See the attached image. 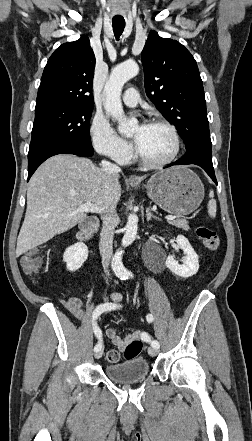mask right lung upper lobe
<instances>
[{
    "label": "right lung upper lobe",
    "mask_w": 252,
    "mask_h": 441,
    "mask_svg": "<svg viewBox=\"0 0 252 441\" xmlns=\"http://www.w3.org/2000/svg\"><path fill=\"white\" fill-rule=\"evenodd\" d=\"M95 62L87 36L58 47L44 68L36 107L48 104L93 107Z\"/></svg>",
    "instance_id": "cb5924a9"
}]
</instances>
